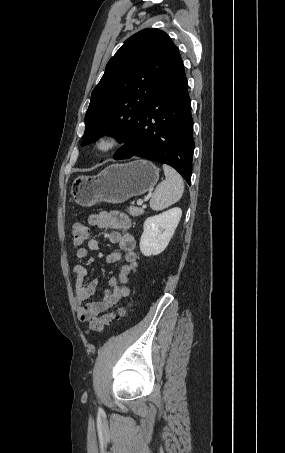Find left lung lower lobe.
<instances>
[{"instance_id":"1","label":"left lung lower lobe","mask_w":285,"mask_h":453,"mask_svg":"<svg viewBox=\"0 0 285 453\" xmlns=\"http://www.w3.org/2000/svg\"><path fill=\"white\" fill-rule=\"evenodd\" d=\"M193 152L191 101L183 61L177 52L113 158L138 156L168 164L190 185Z\"/></svg>"}]
</instances>
